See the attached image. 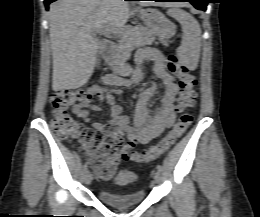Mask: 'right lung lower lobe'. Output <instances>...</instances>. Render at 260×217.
I'll use <instances>...</instances> for the list:
<instances>
[{"mask_svg":"<svg viewBox=\"0 0 260 217\" xmlns=\"http://www.w3.org/2000/svg\"><path fill=\"white\" fill-rule=\"evenodd\" d=\"M56 0H44V3H45V6H46V9L48 10V6L50 3L54 2ZM126 1H130V0H126Z\"/></svg>","mask_w":260,"mask_h":217,"instance_id":"right-lung-lower-lobe-1","label":"right lung lower lobe"}]
</instances>
